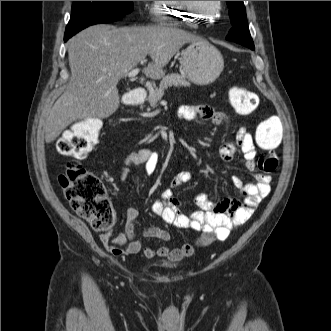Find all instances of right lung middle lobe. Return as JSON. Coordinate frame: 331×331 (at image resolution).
I'll list each match as a JSON object with an SVG mask.
<instances>
[{"label": "right lung middle lobe", "mask_w": 331, "mask_h": 331, "mask_svg": "<svg viewBox=\"0 0 331 331\" xmlns=\"http://www.w3.org/2000/svg\"><path fill=\"white\" fill-rule=\"evenodd\" d=\"M132 10L133 1H74L65 36L71 37L93 24L118 21Z\"/></svg>", "instance_id": "right-lung-middle-lobe-1"}]
</instances>
